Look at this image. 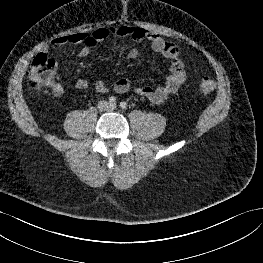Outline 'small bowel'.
Returning a JSON list of instances; mask_svg holds the SVG:
<instances>
[{"mask_svg": "<svg viewBox=\"0 0 263 263\" xmlns=\"http://www.w3.org/2000/svg\"><path fill=\"white\" fill-rule=\"evenodd\" d=\"M111 36L130 38L137 43L147 41L156 53L161 54L170 63V74L166 78L164 84L158 87H135L130 79L120 78L113 85V90L115 92L127 93L129 91H134L137 95L144 97L155 104H161L171 95L176 93L185 82V64L179 55L177 45L172 41L163 39L151 31L130 25L100 28L91 33H73L61 36L54 39L51 44L43 46L42 51L48 52L51 48L67 44L82 45L79 55L81 57H86L93 47L107 40ZM137 54V47H131L128 52L129 57L134 58ZM88 85L89 83L86 79H78L75 83V88L77 90H84L88 87ZM95 89L101 94H107L110 91V88L102 80L96 81ZM53 94L56 97H60L63 94V88L58 84L55 85L53 87Z\"/></svg>", "mask_w": 263, "mask_h": 263, "instance_id": "small-bowel-1", "label": "small bowel"}]
</instances>
